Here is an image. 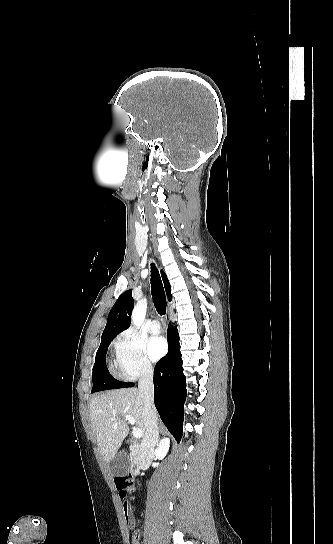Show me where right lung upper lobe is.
Wrapping results in <instances>:
<instances>
[{
    "mask_svg": "<svg viewBox=\"0 0 333 544\" xmlns=\"http://www.w3.org/2000/svg\"><path fill=\"white\" fill-rule=\"evenodd\" d=\"M162 279L169 300L172 299L171 286L166 274L161 270ZM134 307L132 290L125 291L115 302L107 319V324L103 331L102 339L115 337L117 334L126 330L131 322V313Z\"/></svg>",
    "mask_w": 333,
    "mask_h": 544,
    "instance_id": "cb5924a9",
    "label": "right lung upper lobe"
}]
</instances>
